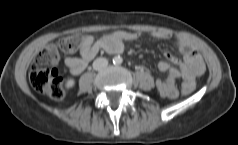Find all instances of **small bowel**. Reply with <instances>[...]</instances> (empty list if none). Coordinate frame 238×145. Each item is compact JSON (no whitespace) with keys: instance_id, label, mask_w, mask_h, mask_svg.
<instances>
[{"instance_id":"c3829d8e","label":"small bowel","mask_w":238,"mask_h":145,"mask_svg":"<svg viewBox=\"0 0 238 145\" xmlns=\"http://www.w3.org/2000/svg\"><path fill=\"white\" fill-rule=\"evenodd\" d=\"M143 36V33L137 31L118 30L103 34L99 39H95L90 34L81 36V44L79 46V56H69L66 58V66L73 74H80L90 61L101 51L110 54H119L124 50L125 41H133ZM150 36L154 39H169L172 34L166 31H153ZM175 43L184 55V60L180 61L177 57L169 52L165 53V57L172 63L178 65V68L170 66L167 61H160L158 68L162 72L167 73L165 80H156V88L160 95L165 98H176L178 96V88L176 81L178 78L184 80V84L195 86V78L202 74L205 70V64L199 52L191 42L184 37H175Z\"/></svg>"}]
</instances>
